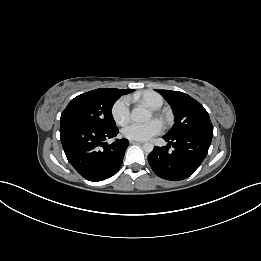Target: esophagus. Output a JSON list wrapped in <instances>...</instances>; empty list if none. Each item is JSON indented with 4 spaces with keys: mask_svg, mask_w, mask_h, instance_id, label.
I'll return each mask as SVG.
<instances>
[{
    "mask_svg": "<svg viewBox=\"0 0 261 261\" xmlns=\"http://www.w3.org/2000/svg\"><path fill=\"white\" fill-rule=\"evenodd\" d=\"M130 144L139 145V144H143V142L136 141V140H130Z\"/></svg>",
    "mask_w": 261,
    "mask_h": 261,
    "instance_id": "obj_1",
    "label": "esophagus"
}]
</instances>
